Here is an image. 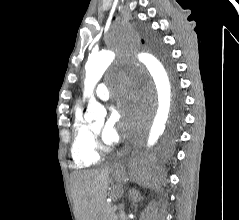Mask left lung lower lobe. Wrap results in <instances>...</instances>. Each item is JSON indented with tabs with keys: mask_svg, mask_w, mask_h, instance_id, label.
I'll list each match as a JSON object with an SVG mask.
<instances>
[{
	"mask_svg": "<svg viewBox=\"0 0 239 220\" xmlns=\"http://www.w3.org/2000/svg\"><path fill=\"white\" fill-rule=\"evenodd\" d=\"M145 168H146L147 170L151 169V168H152V164H151V163H146V164H145Z\"/></svg>",
	"mask_w": 239,
	"mask_h": 220,
	"instance_id": "1",
	"label": "left lung lower lobe"
}]
</instances>
